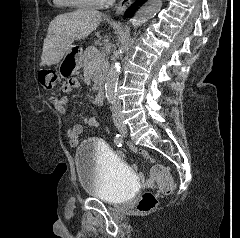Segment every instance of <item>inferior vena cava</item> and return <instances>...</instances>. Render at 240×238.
<instances>
[{
  "mask_svg": "<svg viewBox=\"0 0 240 238\" xmlns=\"http://www.w3.org/2000/svg\"><path fill=\"white\" fill-rule=\"evenodd\" d=\"M112 118L114 122L122 120L121 102L117 98L112 103Z\"/></svg>",
  "mask_w": 240,
  "mask_h": 238,
  "instance_id": "obj_1",
  "label": "inferior vena cava"
}]
</instances>
